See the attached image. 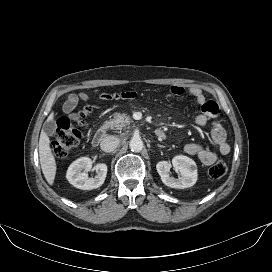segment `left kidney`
Returning <instances> with one entry per match:
<instances>
[{
  "instance_id": "1",
  "label": "left kidney",
  "mask_w": 272,
  "mask_h": 272,
  "mask_svg": "<svg viewBox=\"0 0 272 272\" xmlns=\"http://www.w3.org/2000/svg\"><path fill=\"white\" fill-rule=\"evenodd\" d=\"M172 165L181 177L174 178L169 175L170 165L167 161H160L156 165L162 182L171 188L184 189L193 186L197 181L196 163L187 156L177 155L172 159Z\"/></svg>"
}]
</instances>
